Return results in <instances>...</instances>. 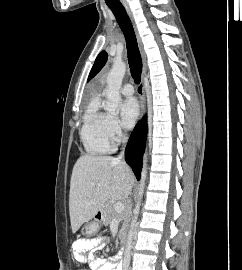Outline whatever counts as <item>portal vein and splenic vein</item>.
Instances as JSON below:
<instances>
[{
  "instance_id": "portal-vein-and-splenic-vein-1",
  "label": "portal vein and splenic vein",
  "mask_w": 242,
  "mask_h": 270,
  "mask_svg": "<svg viewBox=\"0 0 242 270\" xmlns=\"http://www.w3.org/2000/svg\"><path fill=\"white\" fill-rule=\"evenodd\" d=\"M98 186H101V184L99 183ZM114 208L116 212L121 213L124 210V204L121 201H116Z\"/></svg>"
}]
</instances>
